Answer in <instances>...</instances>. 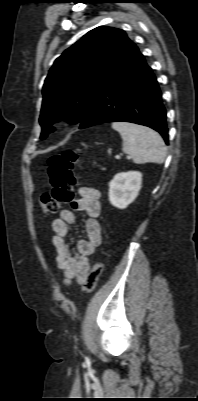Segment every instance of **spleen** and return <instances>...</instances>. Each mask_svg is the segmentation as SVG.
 Wrapping results in <instances>:
<instances>
[{"label":"spleen","instance_id":"obj_1","mask_svg":"<svg viewBox=\"0 0 198 401\" xmlns=\"http://www.w3.org/2000/svg\"><path fill=\"white\" fill-rule=\"evenodd\" d=\"M112 128L123 139L122 150L137 164H162L166 157V147L162 137L154 130L127 122H113Z\"/></svg>","mask_w":198,"mask_h":401}]
</instances>
